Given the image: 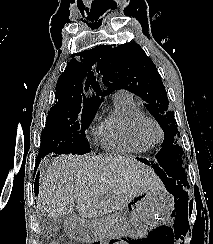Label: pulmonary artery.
I'll use <instances>...</instances> for the list:
<instances>
[{
    "mask_svg": "<svg viewBox=\"0 0 213 244\" xmlns=\"http://www.w3.org/2000/svg\"><path fill=\"white\" fill-rule=\"evenodd\" d=\"M114 95H124V96H127V95H129V93L127 91H125V90H119V91H116L114 93Z\"/></svg>",
    "mask_w": 213,
    "mask_h": 244,
    "instance_id": "1",
    "label": "pulmonary artery"
}]
</instances>
